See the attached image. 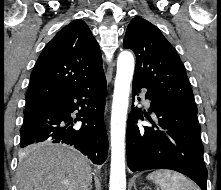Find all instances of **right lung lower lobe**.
I'll return each instance as SVG.
<instances>
[{
	"instance_id": "obj_1",
	"label": "right lung lower lobe",
	"mask_w": 221,
	"mask_h": 190,
	"mask_svg": "<svg viewBox=\"0 0 221 190\" xmlns=\"http://www.w3.org/2000/svg\"><path fill=\"white\" fill-rule=\"evenodd\" d=\"M106 79L93 82L24 113L20 146L45 140L73 145L95 164H102L108 153V138L103 119ZM75 110L76 118L71 117ZM82 121L81 126L74 122Z\"/></svg>"
}]
</instances>
